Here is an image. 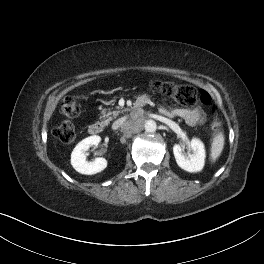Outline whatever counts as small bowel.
Returning a JSON list of instances; mask_svg holds the SVG:
<instances>
[{
    "mask_svg": "<svg viewBox=\"0 0 264 264\" xmlns=\"http://www.w3.org/2000/svg\"><path fill=\"white\" fill-rule=\"evenodd\" d=\"M160 111L168 117H179L189 125L200 124L204 121V112L199 107L192 108H161Z\"/></svg>",
    "mask_w": 264,
    "mask_h": 264,
    "instance_id": "obj_1",
    "label": "small bowel"
}]
</instances>
